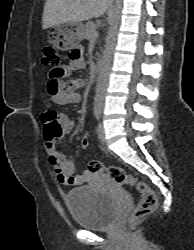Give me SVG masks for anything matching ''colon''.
I'll return each mask as SVG.
<instances>
[{"instance_id": "colon-1", "label": "colon", "mask_w": 194, "mask_h": 250, "mask_svg": "<svg viewBox=\"0 0 194 250\" xmlns=\"http://www.w3.org/2000/svg\"><path fill=\"white\" fill-rule=\"evenodd\" d=\"M70 58L77 60L80 58V51L75 49L71 52ZM42 64L47 67H52L55 70L53 75L61 76L59 71L61 58L57 50L53 46H45L42 50ZM88 139L84 136L81 139L82 148L88 147ZM89 172L93 174L104 175L117 185H129L134 187L140 194V201L131 220H138L154 213L157 207V198L155 192L142 180L127 173L123 168L114 165H104L100 161L90 160L87 163Z\"/></svg>"}]
</instances>
